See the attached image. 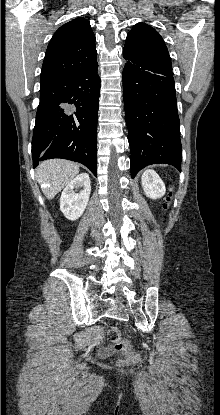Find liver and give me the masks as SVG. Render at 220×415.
Returning a JSON list of instances; mask_svg holds the SVG:
<instances>
[{
    "label": "liver",
    "instance_id": "6515ba94",
    "mask_svg": "<svg viewBox=\"0 0 220 415\" xmlns=\"http://www.w3.org/2000/svg\"><path fill=\"white\" fill-rule=\"evenodd\" d=\"M78 173L79 165L62 159L44 161L36 170L37 179L44 184V194L49 200L53 199Z\"/></svg>",
    "mask_w": 220,
    "mask_h": 415
}]
</instances>
